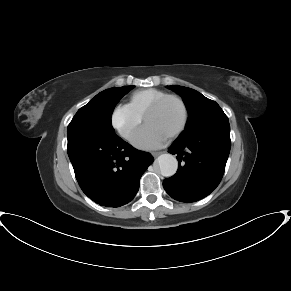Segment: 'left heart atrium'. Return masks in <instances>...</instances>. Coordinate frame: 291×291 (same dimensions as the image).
Instances as JSON below:
<instances>
[{
  "mask_svg": "<svg viewBox=\"0 0 291 291\" xmlns=\"http://www.w3.org/2000/svg\"><path fill=\"white\" fill-rule=\"evenodd\" d=\"M167 138V135L146 124L134 135L133 143L143 149L156 148L161 146Z\"/></svg>",
  "mask_w": 291,
  "mask_h": 291,
  "instance_id": "39dd6f15",
  "label": "left heart atrium"
}]
</instances>
